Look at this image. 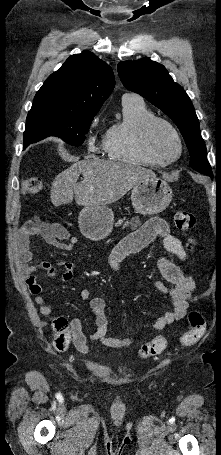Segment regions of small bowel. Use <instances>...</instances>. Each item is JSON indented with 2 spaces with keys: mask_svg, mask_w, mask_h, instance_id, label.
Returning a JSON list of instances; mask_svg holds the SVG:
<instances>
[{
  "mask_svg": "<svg viewBox=\"0 0 221 455\" xmlns=\"http://www.w3.org/2000/svg\"><path fill=\"white\" fill-rule=\"evenodd\" d=\"M35 235L41 236L48 244L61 251L72 250L79 243V238L72 235L65 226L56 222L28 219L20 228L16 248L18 260L23 266V274L27 277L28 288L34 295V301L38 305L40 313L49 316L53 314V309L42 296V286L37 282L35 274L40 271H46L50 277H54L56 276V271L48 262H31L32 252L29 239ZM154 241H159L166 251L175 255L181 262H187V253L181 241L171 233L165 221L160 218H153L138 230L127 235L113 249L108 258L109 267L114 273L118 274L127 256L139 252ZM60 266L64 268L61 279L63 281L71 280L73 277V265L69 262H61ZM157 267L163 279L169 283V286L163 281L157 280L155 287L169 299L172 305V309L163 313L154 323V330L160 331L187 315L188 300L196 285L194 280L186 275L178 265L165 257L157 259ZM80 295L82 299L90 300V310L95 316L96 330L85 335L80 321L78 319L72 320L71 328L78 351L82 353L88 352V339L98 340L103 345L114 349H126L135 343V336L124 338L108 337L105 301L100 297H94L90 289H83Z\"/></svg>",
  "mask_w": 221,
  "mask_h": 455,
  "instance_id": "1",
  "label": "small bowel"
}]
</instances>
